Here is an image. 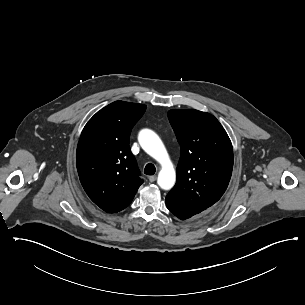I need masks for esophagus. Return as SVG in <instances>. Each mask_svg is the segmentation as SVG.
<instances>
[{
    "label": "esophagus",
    "instance_id": "obj_1",
    "mask_svg": "<svg viewBox=\"0 0 305 305\" xmlns=\"http://www.w3.org/2000/svg\"><path fill=\"white\" fill-rule=\"evenodd\" d=\"M156 179H157V176H156V175L149 176V181H150V182H154V181H156Z\"/></svg>",
    "mask_w": 305,
    "mask_h": 305
}]
</instances>
